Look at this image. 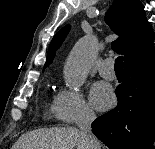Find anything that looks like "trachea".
Here are the masks:
<instances>
[{"label": "trachea", "mask_w": 155, "mask_h": 149, "mask_svg": "<svg viewBox=\"0 0 155 149\" xmlns=\"http://www.w3.org/2000/svg\"><path fill=\"white\" fill-rule=\"evenodd\" d=\"M122 60H123V57L122 56H119L117 59H115V70H123V67H122Z\"/></svg>", "instance_id": "obj_1"}]
</instances>
